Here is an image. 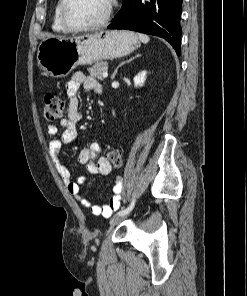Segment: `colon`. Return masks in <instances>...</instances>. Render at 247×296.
Returning a JSON list of instances; mask_svg holds the SVG:
<instances>
[{"label":"colon","instance_id":"1","mask_svg":"<svg viewBox=\"0 0 247 296\" xmlns=\"http://www.w3.org/2000/svg\"><path fill=\"white\" fill-rule=\"evenodd\" d=\"M65 105L61 97L55 93H47L44 98L43 114L46 120L54 121L64 114ZM107 160L115 169L123 166L122 154L119 150L113 149L108 152Z\"/></svg>","mask_w":247,"mask_h":296}]
</instances>
